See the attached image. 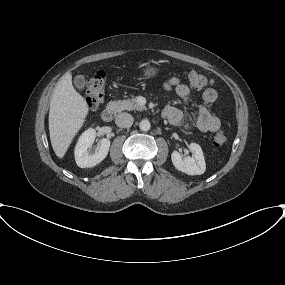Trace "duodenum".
<instances>
[{"label": "duodenum", "mask_w": 285, "mask_h": 285, "mask_svg": "<svg viewBox=\"0 0 285 285\" xmlns=\"http://www.w3.org/2000/svg\"><path fill=\"white\" fill-rule=\"evenodd\" d=\"M117 114V107L115 105L106 106L101 112V118L105 122H110Z\"/></svg>", "instance_id": "1"}]
</instances>
